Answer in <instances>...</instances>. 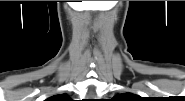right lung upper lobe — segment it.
<instances>
[{
  "mask_svg": "<svg viewBox=\"0 0 185 101\" xmlns=\"http://www.w3.org/2000/svg\"><path fill=\"white\" fill-rule=\"evenodd\" d=\"M48 100L50 101H70V97L66 94H62V95L52 96Z\"/></svg>",
  "mask_w": 185,
  "mask_h": 101,
  "instance_id": "right-lung-upper-lobe-1",
  "label": "right lung upper lobe"
}]
</instances>
